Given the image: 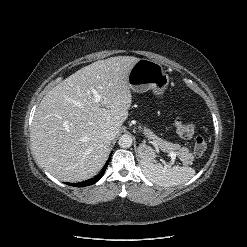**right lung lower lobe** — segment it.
<instances>
[{
    "label": "right lung lower lobe",
    "instance_id": "1",
    "mask_svg": "<svg viewBox=\"0 0 247 247\" xmlns=\"http://www.w3.org/2000/svg\"><path fill=\"white\" fill-rule=\"evenodd\" d=\"M110 158H111V155L109 156V159L107 160V162H106L105 166L103 167V169L101 170V172L96 177L89 179V180H86V181H83V182H79V183H66V184H68L70 186H75V187H85V186H89V185L96 183L97 181H99L101 179V177L105 173V170L108 167V163H109Z\"/></svg>",
    "mask_w": 247,
    "mask_h": 247
}]
</instances>
